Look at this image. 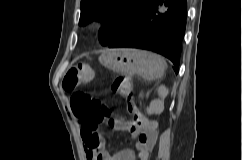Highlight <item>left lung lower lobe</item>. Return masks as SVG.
I'll return each instance as SVG.
<instances>
[{
  "label": "left lung lower lobe",
  "mask_w": 242,
  "mask_h": 160,
  "mask_svg": "<svg viewBox=\"0 0 242 160\" xmlns=\"http://www.w3.org/2000/svg\"><path fill=\"white\" fill-rule=\"evenodd\" d=\"M186 16V0H149L129 30L108 46L157 52L170 59L178 72Z\"/></svg>",
  "instance_id": "1"
}]
</instances>
